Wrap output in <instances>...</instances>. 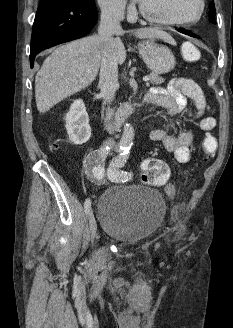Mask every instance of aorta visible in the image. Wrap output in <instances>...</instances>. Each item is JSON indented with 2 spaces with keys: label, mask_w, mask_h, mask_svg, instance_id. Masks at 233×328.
Segmentation results:
<instances>
[{
  "label": "aorta",
  "mask_w": 233,
  "mask_h": 328,
  "mask_svg": "<svg viewBox=\"0 0 233 328\" xmlns=\"http://www.w3.org/2000/svg\"><path fill=\"white\" fill-rule=\"evenodd\" d=\"M134 140V128L130 123L124 125L123 134L120 140V145L128 149L132 146Z\"/></svg>",
  "instance_id": "1"
}]
</instances>
